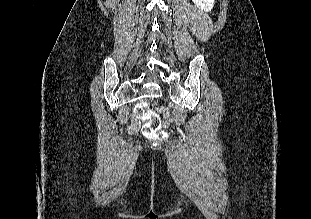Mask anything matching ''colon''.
<instances>
[{
  "mask_svg": "<svg viewBox=\"0 0 311 219\" xmlns=\"http://www.w3.org/2000/svg\"><path fill=\"white\" fill-rule=\"evenodd\" d=\"M136 117L143 121L142 131L145 136L152 140H164L167 133L163 130V122L160 117V111L150 108L146 103H140L135 108Z\"/></svg>",
  "mask_w": 311,
  "mask_h": 219,
  "instance_id": "1",
  "label": "colon"
}]
</instances>
